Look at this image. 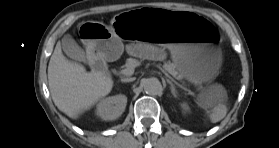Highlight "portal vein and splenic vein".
Listing matches in <instances>:
<instances>
[{"instance_id":"portal-vein-and-splenic-vein-1","label":"portal vein and splenic vein","mask_w":279,"mask_h":148,"mask_svg":"<svg viewBox=\"0 0 279 148\" xmlns=\"http://www.w3.org/2000/svg\"><path fill=\"white\" fill-rule=\"evenodd\" d=\"M136 65H139L138 63H136ZM163 72L164 70L162 68H160ZM134 72V69H123L121 70V73L124 75H132ZM165 73V72H164ZM167 75V73H165Z\"/></svg>"}]
</instances>
